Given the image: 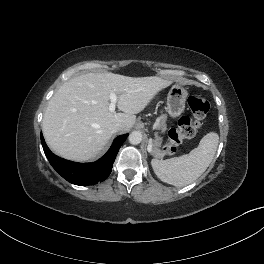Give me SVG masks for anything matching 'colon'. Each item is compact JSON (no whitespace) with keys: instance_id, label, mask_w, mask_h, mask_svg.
<instances>
[{"instance_id":"1","label":"colon","mask_w":264,"mask_h":264,"mask_svg":"<svg viewBox=\"0 0 264 264\" xmlns=\"http://www.w3.org/2000/svg\"><path fill=\"white\" fill-rule=\"evenodd\" d=\"M188 106L192 115L182 116L178 120L177 128L171 129L168 133V142L164 147L167 154L174 153L184 139L191 138L196 134L210 109L208 100L198 94L189 96Z\"/></svg>"}]
</instances>
